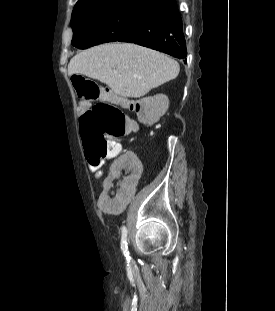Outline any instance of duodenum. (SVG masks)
<instances>
[{
  "mask_svg": "<svg viewBox=\"0 0 275 311\" xmlns=\"http://www.w3.org/2000/svg\"><path fill=\"white\" fill-rule=\"evenodd\" d=\"M109 93V92H108ZM114 99L116 98V96H112Z\"/></svg>",
  "mask_w": 275,
  "mask_h": 311,
  "instance_id": "obj_1",
  "label": "duodenum"
}]
</instances>
